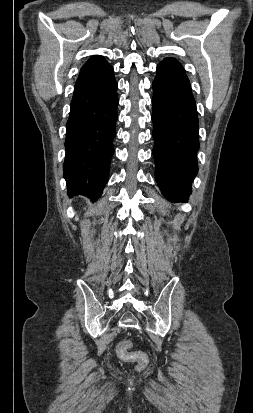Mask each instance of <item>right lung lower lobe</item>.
<instances>
[{
    "instance_id": "1",
    "label": "right lung lower lobe",
    "mask_w": 253,
    "mask_h": 413,
    "mask_svg": "<svg viewBox=\"0 0 253 413\" xmlns=\"http://www.w3.org/2000/svg\"><path fill=\"white\" fill-rule=\"evenodd\" d=\"M112 66L91 86L74 92L66 124L64 178L70 196L98 199L108 182L117 115Z\"/></svg>"
}]
</instances>
